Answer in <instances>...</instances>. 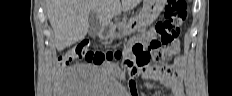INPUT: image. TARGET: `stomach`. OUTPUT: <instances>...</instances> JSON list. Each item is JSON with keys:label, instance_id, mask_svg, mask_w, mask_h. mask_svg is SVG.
I'll return each mask as SVG.
<instances>
[{"label": "stomach", "instance_id": "0dacf381", "mask_svg": "<svg viewBox=\"0 0 232 96\" xmlns=\"http://www.w3.org/2000/svg\"><path fill=\"white\" fill-rule=\"evenodd\" d=\"M166 0H144L143 9L140 14L128 24L125 23L118 32L114 26L107 29L103 38L105 39H119L123 35L129 34L141 26L151 25L161 13Z\"/></svg>", "mask_w": 232, "mask_h": 96}]
</instances>
